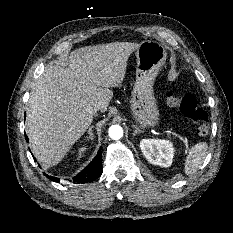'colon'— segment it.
Masks as SVG:
<instances>
[{"instance_id":"5ec220e1","label":"colon","mask_w":233,"mask_h":233,"mask_svg":"<svg viewBox=\"0 0 233 233\" xmlns=\"http://www.w3.org/2000/svg\"><path fill=\"white\" fill-rule=\"evenodd\" d=\"M166 103L168 106L178 109L184 116L193 121L198 135L208 136V113L198 106L197 100L192 94L177 96L174 92H168L166 94Z\"/></svg>"}]
</instances>
